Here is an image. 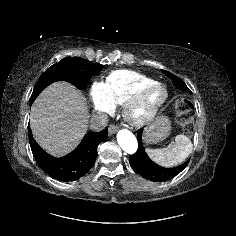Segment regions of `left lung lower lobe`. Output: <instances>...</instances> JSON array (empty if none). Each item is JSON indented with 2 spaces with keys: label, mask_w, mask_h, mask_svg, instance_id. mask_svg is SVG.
<instances>
[{
  "label": "left lung lower lobe",
  "mask_w": 236,
  "mask_h": 236,
  "mask_svg": "<svg viewBox=\"0 0 236 236\" xmlns=\"http://www.w3.org/2000/svg\"><path fill=\"white\" fill-rule=\"evenodd\" d=\"M138 150L130 157L129 162L134 171L145 179L162 182L167 181L180 173L189 163L186 162L178 167L164 168L154 163L146 154L142 145V130H138Z\"/></svg>",
  "instance_id": "1"
}]
</instances>
